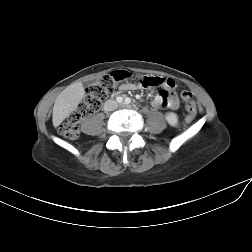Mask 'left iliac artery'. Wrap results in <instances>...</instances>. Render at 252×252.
Instances as JSON below:
<instances>
[{
    "instance_id": "44dca946",
    "label": "left iliac artery",
    "mask_w": 252,
    "mask_h": 252,
    "mask_svg": "<svg viewBox=\"0 0 252 252\" xmlns=\"http://www.w3.org/2000/svg\"><path fill=\"white\" fill-rule=\"evenodd\" d=\"M130 102H131V99L129 97H126L125 98V104H130Z\"/></svg>"
}]
</instances>
